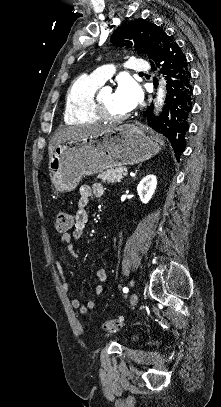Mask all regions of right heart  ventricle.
<instances>
[{
    "mask_svg": "<svg viewBox=\"0 0 221 407\" xmlns=\"http://www.w3.org/2000/svg\"><path fill=\"white\" fill-rule=\"evenodd\" d=\"M101 84L91 76L82 75L69 86L64 103L66 123H93L100 120L94 112L95 94Z\"/></svg>",
    "mask_w": 221,
    "mask_h": 407,
    "instance_id": "e07e8e85",
    "label": "right heart ventricle"
}]
</instances>
